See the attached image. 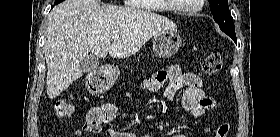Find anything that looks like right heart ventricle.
Returning a JSON list of instances; mask_svg holds the SVG:
<instances>
[{
	"label": "right heart ventricle",
	"instance_id": "1",
	"mask_svg": "<svg viewBox=\"0 0 280 137\" xmlns=\"http://www.w3.org/2000/svg\"><path fill=\"white\" fill-rule=\"evenodd\" d=\"M147 1V0H146ZM149 1V0H148ZM150 1H154V2H156V1H161V0H150ZM145 9H147V10H156V11H160V10H157V9H155V8H145Z\"/></svg>",
	"mask_w": 280,
	"mask_h": 137
}]
</instances>
